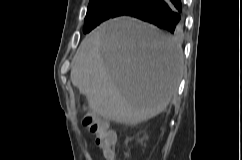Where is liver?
<instances>
[{
    "label": "liver",
    "instance_id": "1",
    "mask_svg": "<svg viewBox=\"0 0 242 160\" xmlns=\"http://www.w3.org/2000/svg\"><path fill=\"white\" fill-rule=\"evenodd\" d=\"M182 72L183 52L176 39L136 19L120 17L83 39L70 78L94 113L135 125L166 109Z\"/></svg>",
    "mask_w": 242,
    "mask_h": 160
}]
</instances>
